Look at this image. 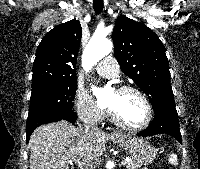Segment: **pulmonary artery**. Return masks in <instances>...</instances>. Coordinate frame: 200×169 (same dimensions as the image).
Segmentation results:
<instances>
[{
    "instance_id": "1",
    "label": "pulmonary artery",
    "mask_w": 200,
    "mask_h": 169,
    "mask_svg": "<svg viewBox=\"0 0 200 169\" xmlns=\"http://www.w3.org/2000/svg\"><path fill=\"white\" fill-rule=\"evenodd\" d=\"M96 72L101 77L114 78L119 72V65L113 57L108 56L99 62Z\"/></svg>"
}]
</instances>
